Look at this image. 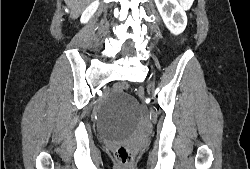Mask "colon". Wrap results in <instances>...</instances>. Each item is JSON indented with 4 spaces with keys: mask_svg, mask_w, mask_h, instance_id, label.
Masks as SVG:
<instances>
[{
    "mask_svg": "<svg viewBox=\"0 0 250 169\" xmlns=\"http://www.w3.org/2000/svg\"><path fill=\"white\" fill-rule=\"evenodd\" d=\"M183 44H188V39H183ZM121 90H128V85H121ZM115 160H118L120 169H134V150H129V145H114Z\"/></svg>",
    "mask_w": 250,
    "mask_h": 169,
    "instance_id": "1",
    "label": "colon"
}]
</instances>
